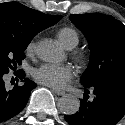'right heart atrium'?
I'll use <instances>...</instances> for the list:
<instances>
[{
    "instance_id": "obj_1",
    "label": "right heart atrium",
    "mask_w": 125,
    "mask_h": 125,
    "mask_svg": "<svg viewBox=\"0 0 125 125\" xmlns=\"http://www.w3.org/2000/svg\"><path fill=\"white\" fill-rule=\"evenodd\" d=\"M35 46H36L35 40L29 41V43L27 44L25 48L26 54L28 55L32 54L35 51Z\"/></svg>"
}]
</instances>
